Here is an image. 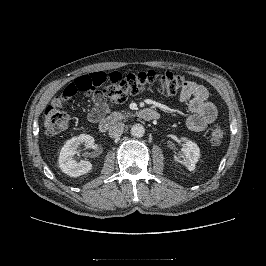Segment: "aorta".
<instances>
[{
	"label": "aorta",
	"instance_id": "aorta-1",
	"mask_svg": "<svg viewBox=\"0 0 266 266\" xmlns=\"http://www.w3.org/2000/svg\"><path fill=\"white\" fill-rule=\"evenodd\" d=\"M145 133V128L143 125L141 124H134L132 127H131V134L134 136V137H142Z\"/></svg>",
	"mask_w": 266,
	"mask_h": 266
}]
</instances>
